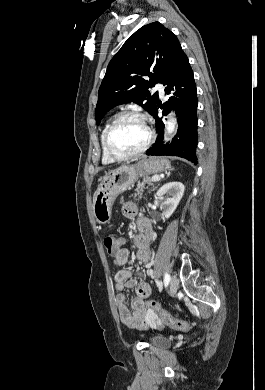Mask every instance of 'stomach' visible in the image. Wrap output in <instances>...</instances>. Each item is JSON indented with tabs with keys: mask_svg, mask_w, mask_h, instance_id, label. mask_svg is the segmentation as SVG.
<instances>
[{
	"mask_svg": "<svg viewBox=\"0 0 265 390\" xmlns=\"http://www.w3.org/2000/svg\"><path fill=\"white\" fill-rule=\"evenodd\" d=\"M170 162L163 157L143 158L132 166H122L109 172L100 182L93 199V212L99 224L109 223L117 196L134 186L139 176L164 172Z\"/></svg>",
	"mask_w": 265,
	"mask_h": 390,
	"instance_id": "1",
	"label": "stomach"
}]
</instances>
